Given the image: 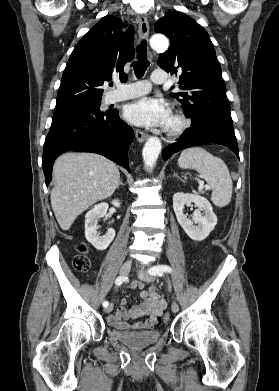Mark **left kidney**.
<instances>
[{
    "label": "left kidney",
    "mask_w": 279,
    "mask_h": 391,
    "mask_svg": "<svg viewBox=\"0 0 279 391\" xmlns=\"http://www.w3.org/2000/svg\"><path fill=\"white\" fill-rule=\"evenodd\" d=\"M191 202L198 207L199 211H195L192 219H188L183 213V209L185 204ZM173 209L185 233L195 241H202L208 237L217 224V216L213 212L210 202L200 195L182 192L174 194Z\"/></svg>",
    "instance_id": "5707ae66"
}]
</instances>
